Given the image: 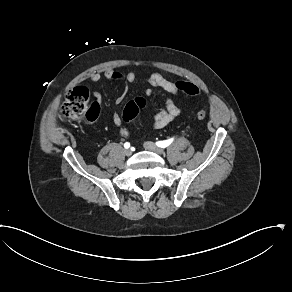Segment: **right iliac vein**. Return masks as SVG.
Instances as JSON below:
<instances>
[{"mask_svg":"<svg viewBox=\"0 0 292 292\" xmlns=\"http://www.w3.org/2000/svg\"><path fill=\"white\" fill-rule=\"evenodd\" d=\"M124 153H125L126 156H131L132 155V150L131 149H126L124 151Z\"/></svg>","mask_w":292,"mask_h":292,"instance_id":"right-iliac-vein-1","label":"right iliac vein"}]
</instances>
